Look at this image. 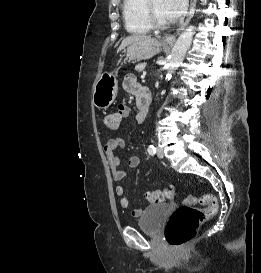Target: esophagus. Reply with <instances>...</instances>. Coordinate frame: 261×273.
Segmentation results:
<instances>
[{
	"instance_id": "34e87169",
	"label": "esophagus",
	"mask_w": 261,
	"mask_h": 273,
	"mask_svg": "<svg viewBox=\"0 0 261 273\" xmlns=\"http://www.w3.org/2000/svg\"><path fill=\"white\" fill-rule=\"evenodd\" d=\"M195 6H196V0H191L189 13L187 15V18H186L185 22L180 26V28L177 30L176 33H174V34H168V35H165L163 37V40H164V42L166 44H168V45H173L174 44V42H175L176 37L178 36V34L188 25V23L190 22L191 18L193 17L194 12H195Z\"/></svg>"
}]
</instances>
